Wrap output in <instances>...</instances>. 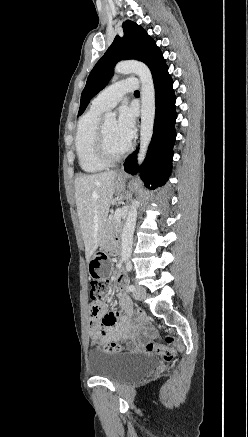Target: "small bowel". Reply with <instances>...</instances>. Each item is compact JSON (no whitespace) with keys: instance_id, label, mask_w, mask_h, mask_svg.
I'll return each mask as SVG.
<instances>
[{"instance_id":"obj_1","label":"small bowel","mask_w":248,"mask_h":437,"mask_svg":"<svg viewBox=\"0 0 248 437\" xmlns=\"http://www.w3.org/2000/svg\"><path fill=\"white\" fill-rule=\"evenodd\" d=\"M124 276L119 275L116 280L118 301L124 314L117 317L113 313H106L102 303L94 301L90 304L89 336L93 342L103 345L116 343L120 340H130L133 350L143 349L139 335H149L144 324L134 327L131 322L132 306L129 298L123 293Z\"/></svg>"}]
</instances>
